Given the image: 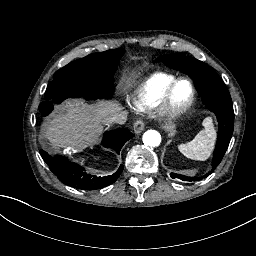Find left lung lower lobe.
Segmentation results:
<instances>
[{
  "mask_svg": "<svg viewBox=\"0 0 256 256\" xmlns=\"http://www.w3.org/2000/svg\"><path fill=\"white\" fill-rule=\"evenodd\" d=\"M171 177L172 178H179L182 179L184 181H189V182H195V181H199L197 178H192V177H186L183 175H179V174H175V173H171ZM206 178V177H205ZM201 180V179H200Z\"/></svg>",
  "mask_w": 256,
  "mask_h": 256,
  "instance_id": "left-lung-lower-lobe-1",
  "label": "left lung lower lobe"
}]
</instances>
